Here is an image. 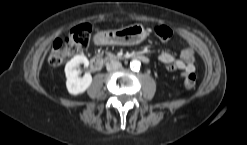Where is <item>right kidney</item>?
<instances>
[{"instance_id":"obj_1","label":"right kidney","mask_w":247,"mask_h":145,"mask_svg":"<svg viewBox=\"0 0 247 145\" xmlns=\"http://www.w3.org/2000/svg\"><path fill=\"white\" fill-rule=\"evenodd\" d=\"M80 64L89 65V61L84 55L74 56L65 66L66 87L70 94L78 95L84 93L92 83L90 73H85L83 77L79 76L77 68Z\"/></svg>"}]
</instances>
